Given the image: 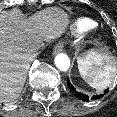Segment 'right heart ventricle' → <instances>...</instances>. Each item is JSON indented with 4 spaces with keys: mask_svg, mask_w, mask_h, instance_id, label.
Wrapping results in <instances>:
<instances>
[{
    "mask_svg": "<svg viewBox=\"0 0 117 117\" xmlns=\"http://www.w3.org/2000/svg\"><path fill=\"white\" fill-rule=\"evenodd\" d=\"M97 23L88 17H77L75 18L71 25L70 30L73 34L80 35L96 28Z\"/></svg>",
    "mask_w": 117,
    "mask_h": 117,
    "instance_id": "e07e8e85",
    "label": "right heart ventricle"
}]
</instances>
